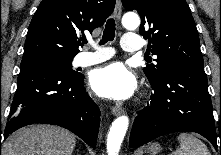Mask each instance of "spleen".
I'll list each match as a JSON object with an SVG mask.
<instances>
[{"label": "spleen", "instance_id": "3e777b00", "mask_svg": "<svg viewBox=\"0 0 221 155\" xmlns=\"http://www.w3.org/2000/svg\"><path fill=\"white\" fill-rule=\"evenodd\" d=\"M180 146L171 155H211L207 146L193 134L178 136Z\"/></svg>", "mask_w": 221, "mask_h": 155}]
</instances>
